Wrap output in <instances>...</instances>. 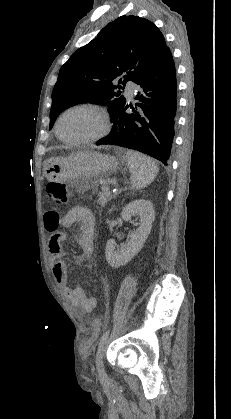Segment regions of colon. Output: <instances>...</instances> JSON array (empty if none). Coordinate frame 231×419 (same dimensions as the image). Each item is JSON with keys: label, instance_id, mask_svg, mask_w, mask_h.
<instances>
[{"label": "colon", "instance_id": "5ec220e1", "mask_svg": "<svg viewBox=\"0 0 231 419\" xmlns=\"http://www.w3.org/2000/svg\"><path fill=\"white\" fill-rule=\"evenodd\" d=\"M47 194L49 197L60 206H64L69 202L70 199V189L65 183H49L46 187ZM100 332V322L95 319L93 322V331L89 340H87L84 345L88 346L92 341H94Z\"/></svg>", "mask_w": 231, "mask_h": 419}]
</instances>
